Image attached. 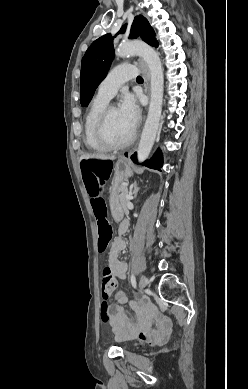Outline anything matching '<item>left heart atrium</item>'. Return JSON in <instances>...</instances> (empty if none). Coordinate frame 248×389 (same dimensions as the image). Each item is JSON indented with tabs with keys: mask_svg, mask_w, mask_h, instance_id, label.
<instances>
[{
	"mask_svg": "<svg viewBox=\"0 0 248 389\" xmlns=\"http://www.w3.org/2000/svg\"><path fill=\"white\" fill-rule=\"evenodd\" d=\"M119 110L124 119L134 129L140 115L135 97L130 93H125L119 105Z\"/></svg>",
	"mask_w": 248,
	"mask_h": 389,
	"instance_id": "1",
	"label": "left heart atrium"
}]
</instances>
